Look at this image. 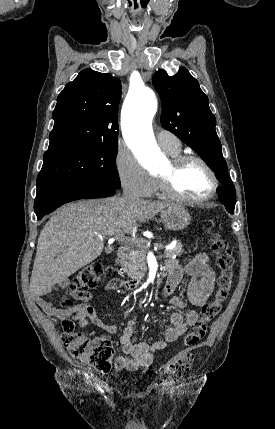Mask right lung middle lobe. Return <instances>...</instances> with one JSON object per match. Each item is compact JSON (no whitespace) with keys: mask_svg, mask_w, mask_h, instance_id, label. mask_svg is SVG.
I'll return each mask as SVG.
<instances>
[{"mask_svg":"<svg viewBox=\"0 0 275 429\" xmlns=\"http://www.w3.org/2000/svg\"><path fill=\"white\" fill-rule=\"evenodd\" d=\"M118 142L68 145L44 154L37 177V195L68 184L90 182L119 189L115 158Z\"/></svg>","mask_w":275,"mask_h":429,"instance_id":"obj_1","label":"right lung middle lobe"}]
</instances>
